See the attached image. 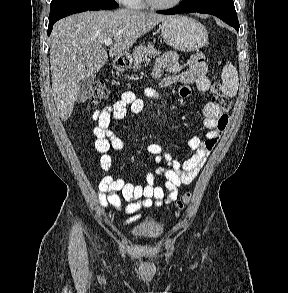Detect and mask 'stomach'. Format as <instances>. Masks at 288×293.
<instances>
[{
    "instance_id": "1",
    "label": "stomach",
    "mask_w": 288,
    "mask_h": 293,
    "mask_svg": "<svg viewBox=\"0 0 288 293\" xmlns=\"http://www.w3.org/2000/svg\"><path fill=\"white\" fill-rule=\"evenodd\" d=\"M161 33L165 42L174 49L190 52L202 48L208 39V31L204 25L195 19L176 15L162 22ZM132 62L130 54H125L118 60L119 70H125Z\"/></svg>"
}]
</instances>
